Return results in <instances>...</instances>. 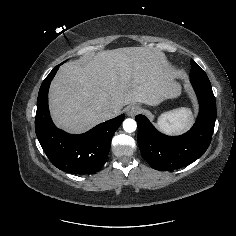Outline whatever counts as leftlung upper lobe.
I'll return each mask as SVG.
<instances>
[{"label": "left lung upper lobe", "instance_id": "1", "mask_svg": "<svg viewBox=\"0 0 236 236\" xmlns=\"http://www.w3.org/2000/svg\"><path fill=\"white\" fill-rule=\"evenodd\" d=\"M190 76L203 77V76H207V75L194 60H191Z\"/></svg>", "mask_w": 236, "mask_h": 236}]
</instances>
